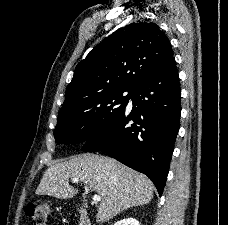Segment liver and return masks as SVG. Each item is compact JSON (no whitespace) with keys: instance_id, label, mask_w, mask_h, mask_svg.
Masks as SVG:
<instances>
[{"instance_id":"1","label":"liver","mask_w":228,"mask_h":225,"mask_svg":"<svg viewBox=\"0 0 228 225\" xmlns=\"http://www.w3.org/2000/svg\"><path fill=\"white\" fill-rule=\"evenodd\" d=\"M79 179L101 197L96 217L97 223H105L122 211L147 205L153 199V183L145 175H140L110 157L100 155H77L71 161L50 165L45 171L36 195H49L56 199H73L78 193L69 185V179Z\"/></svg>"}]
</instances>
